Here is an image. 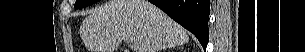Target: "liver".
<instances>
[{"mask_svg":"<svg viewBox=\"0 0 305 52\" xmlns=\"http://www.w3.org/2000/svg\"><path fill=\"white\" fill-rule=\"evenodd\" d=\"M79 31L89 52H115L127 40L136 52H159L189 41L183 27L146 0H110L91 10Z\"/></svg>","mask_w":305,"mask_h":52,"instance_id":"1","label":"liver"}]
</instances>
